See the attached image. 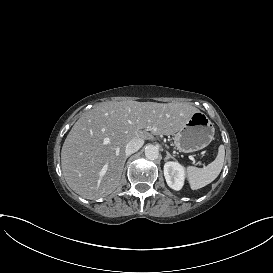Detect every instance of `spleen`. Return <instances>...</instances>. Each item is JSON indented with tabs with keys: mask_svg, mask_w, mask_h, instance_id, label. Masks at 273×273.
Listing matches in <instances>:
<instances>
[{
	"mask_svg": "<svg viewBox=\"0 0 273 273\" xmlns=\"http://www.w3.org/2000/svg\"><path fill=\"white\" fill-rule=\"evenodd\" d=\"M225 158L224 145H220L216 159L204 168L189 166L188 180L192 190H197L214 181L221 172Z\"/></svg>",
	"mask_w": 273,
	"mask_h": 273,
	"instance_id": "1",
	"label": "spleen"
}]
</instances>
